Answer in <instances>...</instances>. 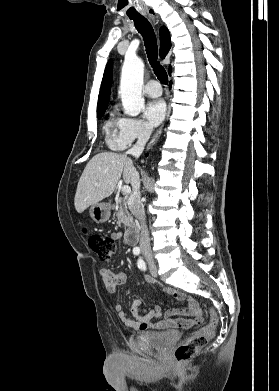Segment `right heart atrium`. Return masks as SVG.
<instances>
[{
	"mask_svg": "<svg viewBox=\"0 0 279 391\" xmlns=\"http://www.w3.org/2000/svg\"><path fill=\"white\" fill-rule=\"evenodd\" d=\"M115 148L125 149L134 142L144 141L150 134V126L142 119L123 116L118 119Z\"/></svg>",
	"mask_w": 279,
	"mask_h": 391,
	"instance_id": "obj_1",
	"label": "right heart atrium"
}]
</instances>
